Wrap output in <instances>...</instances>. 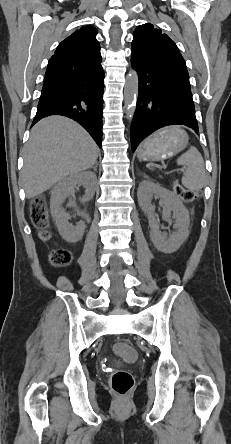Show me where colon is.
<instances>
[{
    "label": "colon",
    "mask_w": 231,
    "mask_h": 444,
    "mask_svg": "<svg viewBox=\"0 0 231 444\" xmlns=\"http://www.w3.org/2000/svg\"><path fill=\"white\" fill-rule=\"evenodd\" d=\"M172 188L175 194L184 202H192L200 196L199 192L186 189L178 182H174ZM31 216L35 226L40 229L41 238L46 239L48 237L46 230L48 214L43 198L38 197L33 200L31 205ZM71 260V253L65 249L55 250L50 256V261L55 267H66L71 263ZM114 351L117 356L124 361H133L136 356L134 348L126 343H117L114 347ZM110 384L116 394L119 396H126L131 392L134 386V378L130 372L123 369H117L110 377Z\"/></svg>",
    "instance_id": "colon-1"
}]
</instances>
